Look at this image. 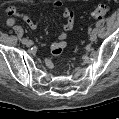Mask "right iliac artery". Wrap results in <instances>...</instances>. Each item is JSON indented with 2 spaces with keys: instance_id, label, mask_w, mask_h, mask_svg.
<instances>
[{
  "instance_id": "1",
  "label": "right iliac artery",
  "mask_w": 119,
  "mask_h": 119,
  "mask_svg": "<svg viewBox=\"0 0 119 119\" xmlns=\"http://www.w3.org/2000/svg\"><path fill=\"white\" fill-rule=\"evenodd\" d=\"M26 41H27L26 38H23V39H22V43H23V44H24Z\"/></svg>"
}]
</instances>
